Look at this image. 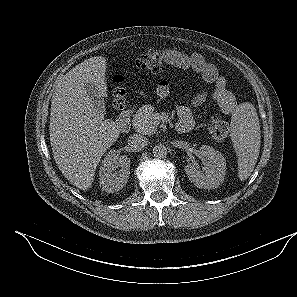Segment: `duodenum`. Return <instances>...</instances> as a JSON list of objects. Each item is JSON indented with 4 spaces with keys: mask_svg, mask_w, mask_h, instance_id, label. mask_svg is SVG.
Masks as SVG:
<instances>
[{
    "mask_svg": "<svg viewBox=\"0 0 297 297\" xmlns=\"http://www.w3.org/2000/svg\"><path fill=\"white\" fill-rule=\"evenodd\" d=\"M132 110L127 108L124 109L118 119H117V126L122 133H128L130 130V120H131ZM177 130L180 133H187L191 130L189 125L180 124L177 126Z\"/></svg>",
    "mask_w": 297,
    "mask_h": 297,
    "instance_id": "1",
    "label": "duodenum"
}]
</instances>
